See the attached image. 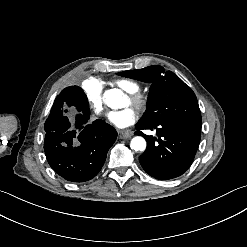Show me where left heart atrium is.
I'll use <instances>...</instances> for the list:
<instances>
[{"mask_svg":"<svg viewBox=\"0 0 247 247\" xmlns=\"http://www.w3.org/2000/svg\"><path fill=\"white\" fill-rule=\"evenodd\" d=\"M139 118V113L136 108L128 107L121 111L110 112L108 115L109 121L118 128H125L134 124Z\"/></svg>","mask_w":247,"mask_h":247,"instance_id":"left-heart-atrium-1","label":"left heart atrium"}]
</instances>
